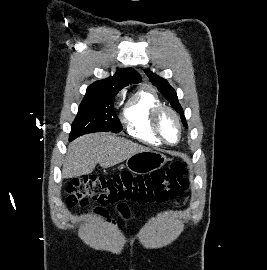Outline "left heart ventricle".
<instances>
[{
  "label": "left heart ventricle",
  "mask_w": 267,
  "mask_h": 270,
  "mask_svg": "<svg viewBox=\"0 0 267 270\" xmlns=\"http://www.w3.org/2000/svg\"><path fill=\"white\" fill-rule=\"evenodd\" d=\"M160 128L165 139L174 143L178 139V127L173 116L165 112L160 118Z\"/></svg>",
  "instance_id": "1"
}]
</instances>
